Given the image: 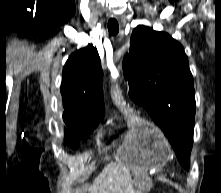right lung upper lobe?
<instances>
[{
    "label": "right lung upper lobe",
    "mask_w": 221,
    "mask_h": 193,
    "mask_svg": "<svg viewBox=\"0 0 221 193\" xmlns=\"http://www.w3.org/2000/svg\"><path fill=\"white\" fill-rule=\"evenodd\" d=\"M102 78L100 57L93 45L69 57L60 88L66 124L104 116Z\"/></svg>",
    "instance_id": "1"
}]
</instances>
